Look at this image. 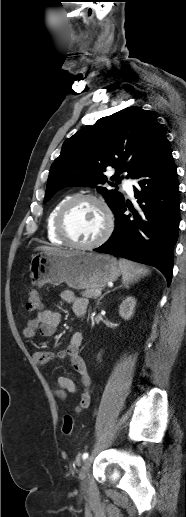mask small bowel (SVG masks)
I'll return each mask as SVG.
<instances>
[{
	"label": "small bowel",
	"instance_id": "obj_1",
	"mask_svg": "<svg viewBox=\"0 0 186 517\" xmlns=\"http://www.w3.org/2000/svg\"><path fill=\"white\" fill-rule=\"evenodd\" d=\"M61 299L72 305L77 315L84 314L88 300L83 297H77L72 291L65 290L60 295ZM61 322V315L50 309L40 311L35 317L30 318L23 328V335L26 338H34L37 333L43 336H53ZM83 342V336L80 332L74 333L65 349L58 352L37 351L33 354V359L39 366H44L53 360L69 358L72 367L78 372L81 383V394L78 405L74 408L75 412H81L91 405L92 402V378L90 372L79 354L80 347ZM53 394L61 401L67 397V393H75L77 391L76 383L67 377H59L56 380Z\"/></svg>",
	"mask_w": 186,
	"mask_h": 517
}]
</instances>
